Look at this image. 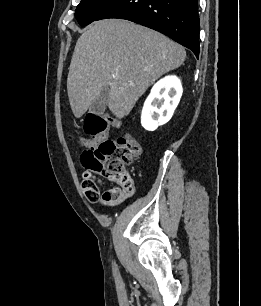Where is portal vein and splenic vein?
Here are the masks:
<instances>
[{
	"mask_svg": "<svg viewBox=\"0 0 261 306\" xmlns=\"http://www.w3.org/2000/svg\"><path fill=\"white\" fill-rule=\"evenodd\" d=\"M114 79L118 80V79H119V76H118V75H115V76H114Z\"/></svg>",
	"mask_w": 261,
	"mask_h": 306,
	"instance_id": "obj_1",
	"label": "portal vein and splenic vein"
}]
</instances>
